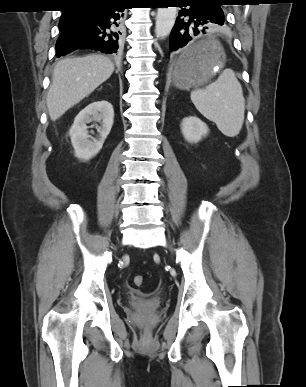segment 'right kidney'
<instances>
[{"instance_id":"ca27d5eb","label":"right kidney","mask_w":306,"mask_h":387,"mask_svg":"<svg viewBox=\"0 0 306 387\" xmlns=\"http://www.w3.org/2000/svg\"><path fill=\"white\" fill-rule=\"evenodd\" d=\"M113 119V106L105 100L93 102L82 109L69 130L75 157L87 161L97 155L111 131ZM92 121L101 124L97 128L99 133L97 139L92 138L88 132L87 124Z\"/></svg>"}]
</instances>
